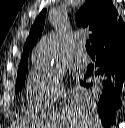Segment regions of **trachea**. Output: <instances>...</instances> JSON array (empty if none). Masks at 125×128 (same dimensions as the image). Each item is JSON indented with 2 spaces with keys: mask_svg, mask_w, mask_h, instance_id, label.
Returning <instances> with one entry per match:
<instances>
[{
  "mask_svg": "<svg viewBox=\"0 0 125 128\" xmlns=\"http://www.w3.org/2000/svg\"><path fill=\"white\" fill-rule=\"evenodd\" d=\"M86 50H87V52H93V49H92L89 41H86Z\"/></svg>",
  "mask_w": 125,
  "mask_h": 128,
  "instance_id": "1",
  "label": "trachea"
}]
</instances>
